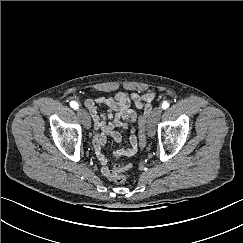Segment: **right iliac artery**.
Listing matches in <instances>:
<instances>
[{"label": "right iliac artery", "mask_w": 243, "mask_h": 243, "mask_svg": "<svg viewBox=\"0 0 243 243\" xmlns=\"http://www.w3.org/2000/svg\"><path fill=\"white\" fill-rule=\"evenodd\" d=\"M70 106L72 107V108H74V109H78V104L75 102V101H71L70 102Z\"/></svg>", "instance_id": "1"}]
</instances>
